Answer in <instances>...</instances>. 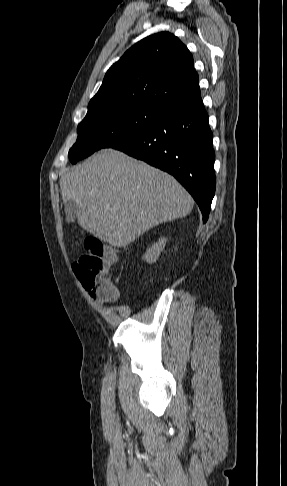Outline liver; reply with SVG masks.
I'll list each match as a JSON object with an SVG mask.
<instances>
[{"instance_id": "1", "label": "liver", "mask_w": 287, "mask_h": 486, "mask_svg": "<svg viewBox=\"0 0 287 486\" xmlns=\"http://www.w3.org/2000/svg\"><path fill=\"white\" fill-rule=\"evenodd\" d=\"M60 189L65 205L75 202L79 226L114 247L186 217L194 205L174 177L114 149L63 170Z\"/></svg>"}]
</instances>
